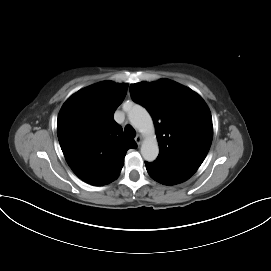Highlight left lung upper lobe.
Returning a JSON list of instances; mask_svg holds the SVG:
<instances>
[{"label": "left lung upper lobe", "mask_w": 271, "mask_h": 271, "mask_svg": "<svg viewBox=\"0 0 271 271\" xmlns=\"http://www.w3.org/2000/svg\"><path fill=\"white\" fill-rule=\"evenodd\" d=\"M130 92L153 118L157 159L197 170L213 137L212 117L201 96L169 79L131 84Z\"/></svg>", "instance_id": "obj_1"}]
</instances>
